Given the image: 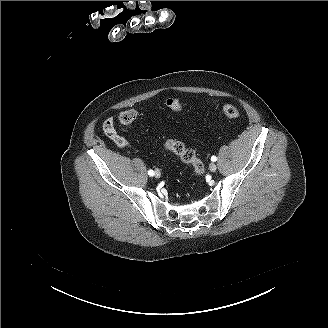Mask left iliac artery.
I'll return each mask as SVG.
<instances>
[{
  "label": "left iliac artery",
  "mask_w": 328,
  "mask_h": 328,
  "mask_svg": "<svg viewBox=\"0 0 328 328\" xmlns=\"http://www.w3.org/2000/svg\"><path fill=\"white\" fill-rule=\"evenodd\" d=\"M211 160H212L213 162H215V161H217V157H216V156H212V157H211Z\"/></svg>",
  "instance_id": "44dca946"
}]
</instances>
